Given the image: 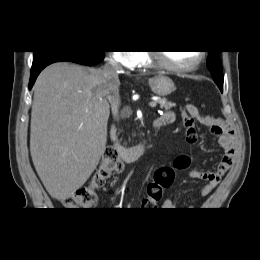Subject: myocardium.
Instances as JSON below:
<instances>
[{
	"label": "myocardium",
	"mask_w": 260,
	"mask_h": 260,
	"mask_svg": "<svg viewBox=\"0 0 260 260\" xmlns=\"http://www.w3.org/2000/svg\"><path fill=\"white\" fill-rule=\"evenodd\" d=\"M147 55L152 63L160 68H163L172 72H190L196 69L205 59L204 51H198V58L189 65H174L169 63L162 55L161 52L148 51Z\"/></svg>",
	"instance_id": "1"
}]
</instances>
